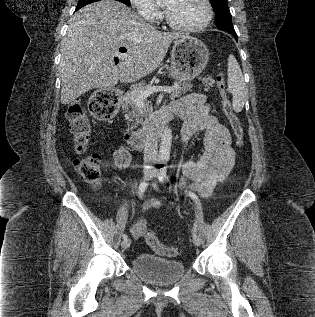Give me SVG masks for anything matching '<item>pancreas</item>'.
<instances>
[{
  "label": "pancreas",
  "instance_id": "cf45deb5",
  "mask_svg": "<svg viewBox=\"0 0 315 317\" xmlns=\"http://www.w3.org/2000/svg\"><path fill=\"white\" fill-rule=\"evenodd\" d=\"M202 83L205 84V89L204 90H208L209 86L213 85V78L210 76L204 77L201 79ZM151 86L147 85V86H133L132 89L126 93L125 95V102H126V106L125 108H127L128 106H130L132 108V112H129L128 114H126V117L128 119V121L132 122V121H136V123H134L133 125H131V127H134L137 123H139L141 121V118L143 117V115L145 113H147L149 111L148 109V103L146 101V99L143 100L144 102V110L140 111L139 107H138V100H137V92L138 91H145L148 88H150ZM192 88V84L190 82H184L182 83L181 81L176 82L173 86V91L171 92V99L174 98H178L180 97L182 94H185L188 90H191Z\"/></svg>",
  "mask_w": 315,
  "mask_h": 317
}]
</instances>
